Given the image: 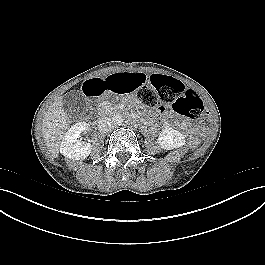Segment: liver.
<instances>
[{
  "instance_id": "liver-1",
  "label": "liver",
  "mask_w": 265,
  "mask_h": 265,
  "mask_svg": "<svg viewBox=\"0 0 265 265\" xmlns=\"http://www.w3.org/2000/svg\"><path fill=\"white\" fill-rule=\"evenodd\" d=\"M69 117L66 114L62 98L59 97L48 108L42 124V133L45 144L53 157H58L61 140L69 126Z\"/></svg>"
}]
</instances>
